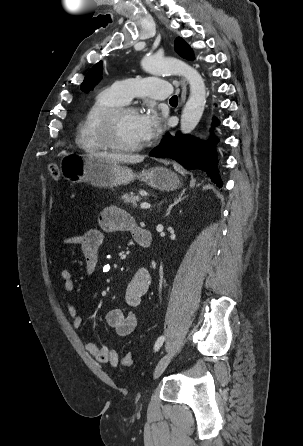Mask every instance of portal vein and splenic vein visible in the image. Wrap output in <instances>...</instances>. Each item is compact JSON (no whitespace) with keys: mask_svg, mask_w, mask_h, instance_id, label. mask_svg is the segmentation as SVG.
<instances>
[{"mask_svg":"<svg viewBox=\"0 0 303 446\" xmlns=\"http://www.w3.org/2000/svg\"><path fill=\"white\" fill-rule=\"evenodd\" d=\"M140 207L142 209H149L150 208V204L147 203V202H143V203L140 204Z\"/></svg>","mask_w":303,"mask_h":446,"instance_id":"portal-vein-and-splenic-vein-1","label":"portal vein and splenic vein"}]
</instances>
